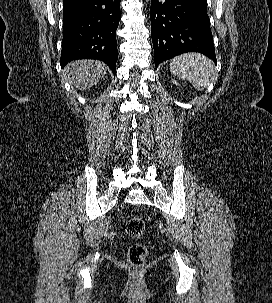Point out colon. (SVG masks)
I'll list each match as a JSON object with an SVG mask.
<instances>
[{"mask_svg":"<svg viewBox=\"0 0 272 303\" xmlns=\"http://www.w3.org/2000/svg\"><path fill=\"white\" fill-rule=\"evenodd\" d=\"M126 233L132 238H141L145 233V222L141 217H131L125 225ZM148 248L143 242L133 243L128 248V261L134 268H141L147 258Z\"/></svg>","mask_w":272,"mask_h":303,"instance_id":"1","label":"colon"}]
</instances>
